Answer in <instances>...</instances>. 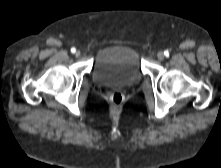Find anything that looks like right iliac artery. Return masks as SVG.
<instances>
[{"mask_svg":"<svg viewBox=\"0 0 221 168\" xmlns=\"http://www.w3.org/2000/svg\"><path fill=\"white\" fill-rule=\"evenodd\" d=\"M71 52L72 53H75L76 52V49L73 47V48H71Z\"/></svg>","mask_w":221,"mask_h":168,"instance_id":"obj_1","label":"right iliac artery"}]
</instances>
